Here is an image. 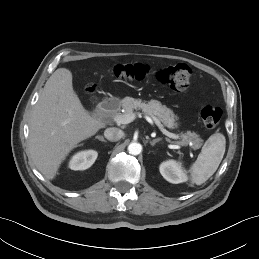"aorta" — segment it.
Wrapping results in <instances>:
<instances>
[{
  "instance_id": "1",
  "label": "aorta",
  "mask_w": 259,
  "mask_h": 259,
  "mask_svg": "<svg viewBox=\"0 0 259 259\" xmlns=\"http://www.w3.org/2000/svg\"><path fill=\"white\" fill-rule=\"evenodd\" d=\"M142 151V145L140 143H131L128 146V152L132 155H138Z\"/></svg>"
}]
</instances>
